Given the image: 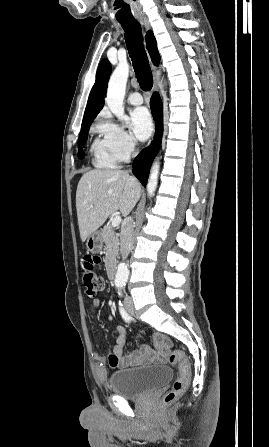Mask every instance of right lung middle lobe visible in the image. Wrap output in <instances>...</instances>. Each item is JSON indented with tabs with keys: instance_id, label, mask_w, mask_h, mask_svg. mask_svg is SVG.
<instances>
[{
	"instance_id": "1",
	"label": "right lung middle lobe",
	"mask_w": 269,
	"mask_h": 447,
	"mask_svg": "<svg viewBox=\"0 0 269 447\" xmlns=\"http://www.w3.org/2000/svg\"><path fill=\"white\" fill-rule=\"evenodd\" d=\"M90 125H91V123L85 124V125H83L81 127V133H80V136H79V139H78V147H79L78 157L80 159L84 158V152H83L81 146H83L86 143V141H87V133L89 131Z\"/></svg>"
}]
</instances>
